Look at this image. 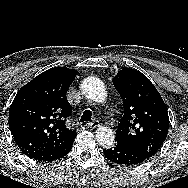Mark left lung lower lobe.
I'll list each match as a JSON object with an SVG mask.
<instances>
[{"mask_svg":"<svg viewBox=\"0 0 188 188\" xmlns=\"http://www.w3.org/2000/svg\"><path fill=\"white\" fill-rule=\"evenodd\" d=\"M103 152L108 160L116 164H123L127 166L139 164L151 157L145 152L124 146L117 142L115 146L104 149Z\"/></svg>","mask_w":188,"mask_h":188,"instance_id":"obj_1","label":"left lung lower lobe"}]
</instances>
